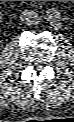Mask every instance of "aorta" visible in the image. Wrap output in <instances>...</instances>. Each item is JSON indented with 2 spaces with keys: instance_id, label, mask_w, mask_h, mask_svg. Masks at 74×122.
<instances>
[{
  "instance_id": "1",
  "label": "aorta",
  "mask_w": 74,
  "mask_h": 122,
  "mask_svg": "<svg viewBox=\"0 0 74 122\" xmlns=\"http://www.w3.org/2000/svg\"><path fill=\"white\" fill-rule=\"evenodd\" d=\"M46 19L51 24H54L56 22V19L53 16H51L50 14L46 15Z\"/></svg>"
}]
</instances>
